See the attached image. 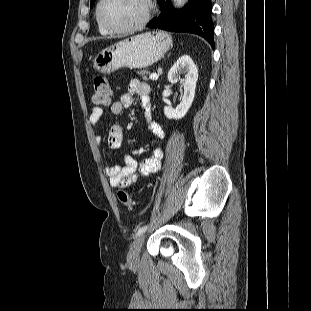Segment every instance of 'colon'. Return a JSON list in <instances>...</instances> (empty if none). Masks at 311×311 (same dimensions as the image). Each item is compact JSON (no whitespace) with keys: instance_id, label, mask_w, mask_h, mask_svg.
Returning a JSON list of instances; mask_svg holds the SVG:
<instances>
[{"instance_id":"colon-1","label":"colon","mask_w":311,"mask_h":311,"mask_svg":"<svg viewBox=\"0 0 311 311\" xmlns=\"http://www.w3.org/2000/svg\"><path fill=\"white\" fill-rule=\"evenodd\" d=\"M111 88L107 80L102 76H96L93 83V96L92 100L97 106H106L111 101ZM119 202L128 210L134 207V201L129 193L119 190L117 193Z\"/></svg>"}]
</instances>
